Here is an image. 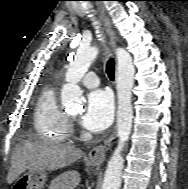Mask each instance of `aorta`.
<instances>
[{"label":"aorta","mask_w":188,"mask_h":189,"mask_svg":"<svg viewBox=\"0 0 188 189\" xmlns=\"http://www.w3.org/2000/svg\"><path fill=\"white\" fill-rule=\"evenodd\" d=\"M97 47H80L69 64L65 75L66 84L62 87L61 103L66 109H79L82 106V92L79 81L88 71L91 63L98 55ZM116 89L118 97L117 136L118 145L108 162L102 189H120L124 167L122 151L132 130V87L134 84L135 67L131 55L123 48H118Z\"/></svg>","instance_id":"aorta-1"}]
</instances>
